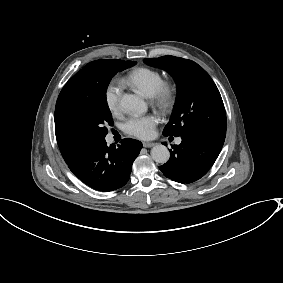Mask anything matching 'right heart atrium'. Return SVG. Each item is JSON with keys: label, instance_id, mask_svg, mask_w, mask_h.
<instances>
[{"label": "right heart atrium", "instance_id": "right-heart-atrium-1", "mask_svg": "<svg viewBox=\"0 0 283 283\" xmlns=\"http://www.w3.org/2000/svg\"><path fill=\"white\" fill-rule=\"evenodd\" d=\"M124 92V86L120 79L110 78L103 90V97L107 109L112 113H118L121 110V100Z\"/></svg>", "mask_w": 283, "mask_h": 283}]
</instances>
